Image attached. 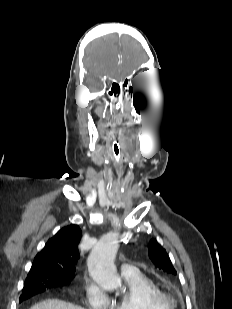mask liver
<instances>
[{"label":"liver","mask_w":232,"mask_h":309,"mask_svg":"<svg viewBox=\"0 0 232 309\" xmlns=\"http://www.w3.org/2000/svg\"><path fill=\"white\" fill-rule=\"evenodd\" d=\"M30 309H84V308L58 299H48L35 304Z\"/></svg>","instance_id":"obj_1"}]
</instances>
